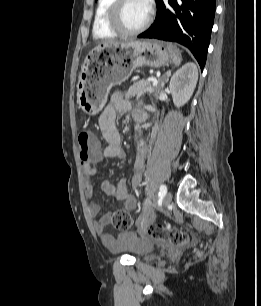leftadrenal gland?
Returning a JSON list of instances; mask_svg holds the SVG:
<instances>
[{
    "mask_svg": "<svg viewBox=\"0 0 261 306\" xmlns=\"http://www.w3.org/2000/svg\"><path fill=\"white\" fill-rule=\"evenodd\" d=\"M170 74H171V71H167L161 77V79H160L161 87H164L165 83L168 81V78H169Z\"/></svg>",
    "mask_w": 261,
    "mask_h": 306,
    "instance_id": "obj_1",
    "label": "left adrenal gland"
}]
</instances>
